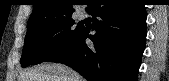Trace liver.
<instances>
[{"mask_svg":"<svg viewBox=\"0 0 169 81\" xmlns=\"http://www.w3.org/2000/svg\"><path fill=\"white\" fill-rule=\"evenodd\" d=\"M19 81H84V78L66 65L42 63L21 73Z\"/></svg>","mask_w":169,"mask_h":81,"instance_id":"obj_1","label":"liver"}]
</instances>
